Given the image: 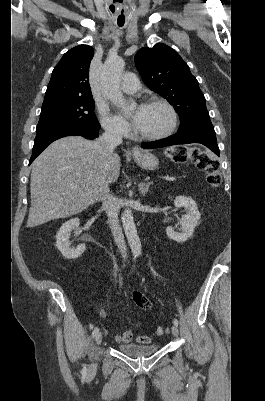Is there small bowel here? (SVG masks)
Segmentation results:
<instances>
[{"instance_id": "obj_1", "label": "small bowel", "mask_w": 265, "mask_h": 401, "mask_svg": "<svg viewBox=\"0 0 265 401\" xmlns=\"http://www.w3.org/2000/svg\"><path fill=\"white\" fill-rule=\"evenodd\" d=\"M133 300L135 303L142 308V305H145V310L150 309L151 304L150 302L140 293L137 291H134L132 293ZM102 317H105V312H101ZM116 341L121 342V343H129L131 341H136L139 343H150L151 338L148 336H134L131 331H125L122 334H118L115 336Z\"/></svg>"}]
</instances>
